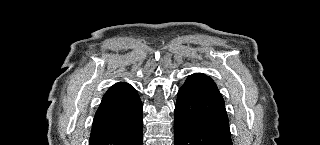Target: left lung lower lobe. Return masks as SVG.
I'll use <instances>...</instances> for the list:
<instances>
[{"label":"left lung lower lobe","instance_id":"1","mask_svg":"<svg viewBox=\"0 0 320 145\" xmlns=\"http://www.w3.org/2000/svg\"><path fill=\"white\" fill-rule=\"evenodd\" d=\"M174 140L175 145H233L222 95L203 73L190 75L178 91Z\"/></svg>","mask_w":320,"mask_h":145}]
</instances>
